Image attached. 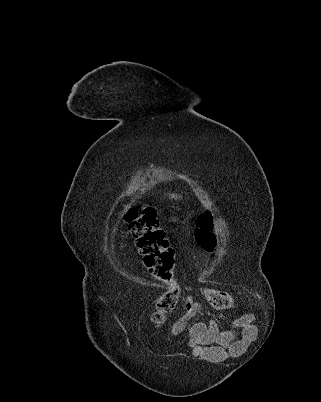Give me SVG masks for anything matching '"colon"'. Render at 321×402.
<instances>
[{"mask_svg": "<svg viewBox=\"0 0 321 402\" xmlns=\"http://www.w3.org/2000/svg\"><path fill=\"white\" fill-rule=\"evenodd\" d=\"M124 219L135 238L145 266L154 277L168 287L157 298L153 313V321L161 324L175 310L179 300V290L173 285L174 248L160 227L157 211L154 208H129ZM213 228L212 213L207 211L200 214L197 219L195 239L198 246L207 253H213L217 245ZM201 293L207 296L210 305L217 310L226 311L234 306V299L227 291L209 290L208 286H203Z\"/></svg>", "mask_w": 321, "mask_h": 402, "instance_id": "1", "label": "colon"}]
</instances>
